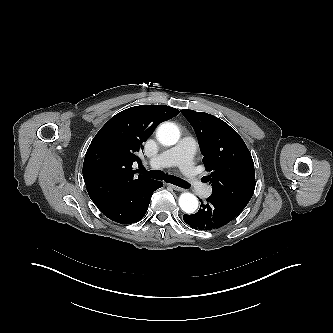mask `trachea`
Segmentation results:
<instances>
[{
	"instance_id": "trachea-1",
	"label": "trachea",
	"mask_w": 333,
	"mask_h": 333,
	"mask_svg": "<svg viewBox=\"0 0 333 333\" xmlns=\"http://www.w3.org/2000/svg\"><path fill=\"white\" fill-rule=\"evenodd\" d=\"M138 173H141L145 176H148V177L156 179V180H164L167 183H171V184H174V185L182 187V188H189L190 187L188 182H186V181H184V180H182V179H180L176 176L164 174L160 170L147 171L145 168L140 167L138 169Z\"/></svg>"
}]
</instances>
